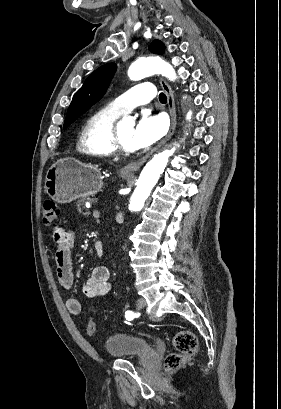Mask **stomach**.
Returning <instances> with one entry per match:
<instances>
[{"mask_svg":"<svg viewBox=\"0 0 281 409\" xmlns=\"http://www.w3.org/2000/svg\"><path fill=\"white\" fill-rule=\"evenodd\" d=\"M102 186V172L97 164H87L73 156L59 158L46 172L45 190L56 202H71L80 196H94Z\"/></svg>","mask_w":281,"mask_h":409,"instance_id":"obj_1","label":"stomach"}]
</instances>
